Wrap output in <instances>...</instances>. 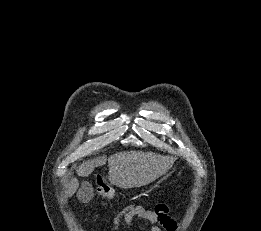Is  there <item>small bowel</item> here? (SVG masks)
<instances>
[{
  "label": "small bowel",
  "mask_w": 261,
  "mask_h": 231,
  "mask_svg": "<svg viewBox=\"0 0 261 231\" xmlns=\"http://www.w3.org/2000/svg\"><path fill=\"white\" fill-rule=\"evenodd\" d=\"M137 217L149 222L150 231H162L159 224L163 226L165 231H176L178 225L177 219L170 214L167 205L160 204L154 209H149L144 204H137L115 219L113 229H117L122 224L132 229Z\"/></svg>",
  "instance_id": "c3829d8e"
}]
</instances>
